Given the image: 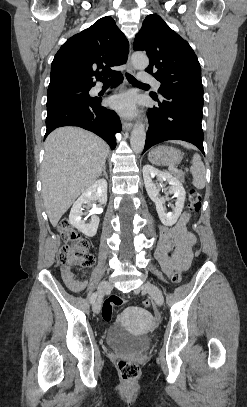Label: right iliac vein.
Segmentation results:
<instances>
[{"label": "right iliac vein", "instance_id": "right-iliac-vein-1", "mask_svg": "<svg viewBox=\"0 0 247 407\" xmlns=\"http://www.w3.org/2000/svg\"><path fill=\"white\" fill-rule=\"evenodd\" d=\"M112 288V285L108 281H102L99 286H98V291H99V296L97 300L93 304V311L95 313H98L101 309V303H102V298L105 293L110 291Z\"/></svg>", "mask_w": 247, "mask_h": 407}]
</instances>
